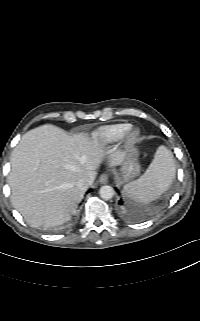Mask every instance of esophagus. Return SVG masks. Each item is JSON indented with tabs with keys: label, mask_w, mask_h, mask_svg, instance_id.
<instances>
[{
	"label": "esophagus",
	"mask_w": 200,
	"mask_h": 321,
	"mask_svg": "<svg viewBox=\"0 0 200 321\" xmlns=\"http://www.w3.org/2000/svg\"><path fill=\"white\" fill-rule=\"evenodd\" d=\"M108 179H109L108 173H103V174H101L100 177H99V182H100L101 184H105V183L108 182Z\"/></svg>",
	"instance_id": "esophagus-1"
}]
</instances>
